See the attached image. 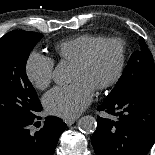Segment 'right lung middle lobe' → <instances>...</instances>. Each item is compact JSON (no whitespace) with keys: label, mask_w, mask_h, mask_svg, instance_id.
I'll return each instance as SVG.
<instances>
[{"label":"right lung middle lobe","mask_w":155,"mask_h":155,"mask_svg":"<svg viewBox=\"0 0 155 155\" xmlns=\"http://www.w3.org/2000/svg\"><path fill=\"white\" fill-rule=\"evenodd\" d=\"M43 37L28 31H11L0 38V124L33 119L42 109L26 75L30 51Z\"/></svg>","instance_id":"obj_1"}]
</instances>
